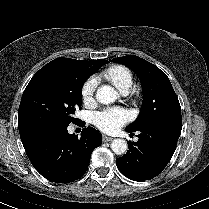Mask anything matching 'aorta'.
<instances>
[{"mask_svg":"<svg viewBox=\"0 0 209 209\" xmlns=\"http://www.w3.org/2000/svg\"><path fill=\"white\" fill-rule=\"evenodd\" d=\"M96 99L102 104H109L117 99V92L113 87L103 85L97 89ZM111 149L117 155L126 153L128 149L126 140L114 139L111 143Z\"/></svg>","mask_w":209,"mask_h":209,"instance_id":"1","label":"aorta"}]
</instances>
